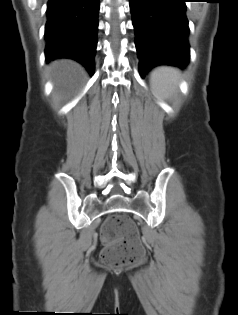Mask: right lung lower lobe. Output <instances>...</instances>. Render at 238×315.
<instances>
[{
  "label": "right lung lower lobe",
  "mask_w": 238,
  "mask_h": 315,
  "mask_svg": "<svg viewBox=\"0 0 238 315\" xmlns=\"http://www.w3.org/2000/svg\"><path fill=\"white\" fill-rule=\"evenodd\" d=\"M99 0H49L45 25L46 60L71 58L94 72Z\"/></svg>",
  "instance_id": "1"
}]
</instances>
